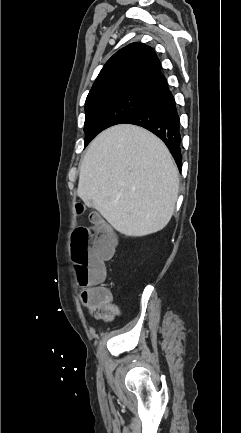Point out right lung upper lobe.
Returning a JSON list of instances; mask_svg holds the SVG:
<instances>
[{
	"label": "right lung upper lobe",
	"instance_id": "right-lung-upper-lobe-1",
	"mask_svg": "<svg viewBox=\"0 0 241 433\" xmlns=\"http://www.w3.org/2000/svg\"><path fill=\"white\" fill-rule=\"evenodd\" d=\"M167 83L154 50L142 43L120 49L104 65L86 102L120 93L151 94ZM180 148V146H179Z\"/></svg>",
	"mask_w": 241,
	"mask_h": 433
}]
</instances>
